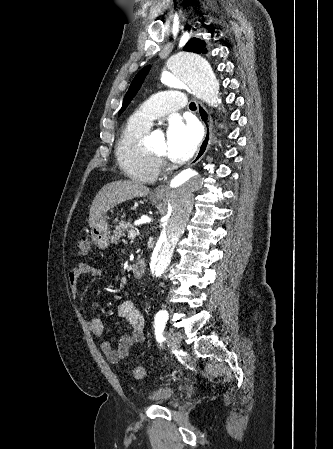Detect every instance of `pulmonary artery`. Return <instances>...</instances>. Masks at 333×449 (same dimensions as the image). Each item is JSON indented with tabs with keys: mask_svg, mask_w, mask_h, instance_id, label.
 I'll return each mask as SVG.
<instances>
[{
	"mask_svg": "<svg viewBox=\"0 0 333 449\" xmlns=\"http://www.w3.org/2000/svg\"><path fill=\"white\" fill-rule=\"evenodd\" d=\"M186 106L184 93L178 90H166L154 94L138 109L135 118L150 127L153 120L166 112Z\"/></svg>",
	"mask_w": 333,
	"mask_h": 449,
	"instance_id": "e3ab8cb5",
	"label": "pulmonary artery"
}]
</instances>
